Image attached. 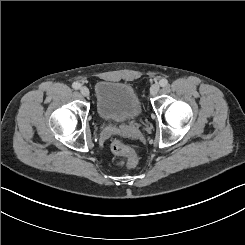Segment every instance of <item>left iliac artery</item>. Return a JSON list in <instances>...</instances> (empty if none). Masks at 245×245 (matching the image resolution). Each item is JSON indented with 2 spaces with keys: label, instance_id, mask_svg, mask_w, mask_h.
I'll return each mask as SVG.
<instances>
[{
  "label": "left iliac artery",
  "instance_id": "1",
  "mask_svg": "<svg viewBox=\"0 0 245 245\" xmlns=\"http://www.w3.org/2000/svg\"><path fill=\"white\" fill-rule=\"evenodd\" d=\"M160 86L165 87L168 85V80L167 79H161L159 81Z\"/></svg>",
  "mask_w": 245,
  "mask_h": 245
}]
</instances>
